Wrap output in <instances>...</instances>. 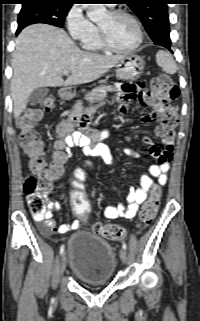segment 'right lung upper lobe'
<instances>
[{
    "instance_id": "right-lung-upper-lobe-1",
    "label": "right lung upper lobe",
    "mask_w": 200,
    "mask_h": 321,
    "mask_svg": "<svg viewBox=\"0 0 200 321\" xmlns=\"http://www.w3.org/2000/svg\"><path fill=\"white\" fill-rule=\"evenodd\" d=\"M21 1L25 2V1H32V0H21ZM49 1H58L64 5H71L74 3L75 0H49Z\"/></svg>"
}]
</instances>
